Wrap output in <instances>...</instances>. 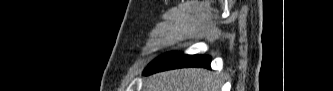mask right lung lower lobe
<instances>
[{"label": "right lung lower lobe", "instance_id": "right-lung-lower-lobe-1", "mask_svg": "<svg viewBox=\"0 0 333 91\" xmlns=\"http://www.w3.org/2000/svg\"><path fill=\"white\" fill-rule=\"evenodd\" d=\"M209 56L184 55L167 53L155 59L146 68L144 74H152L159 71L184 68V67H210Z\"/></svg>", "mask_w": 333, "mask_h": 91}]
</instances>
